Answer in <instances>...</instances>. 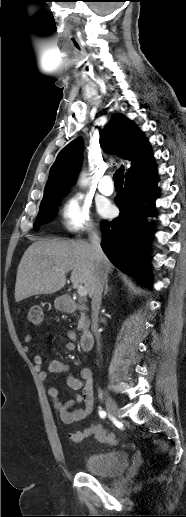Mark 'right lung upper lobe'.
<instances>
[{"label":"right lung upper lobe","mask_w":186,"mask_h":517,"mask_svg":"<svg viewBox=\"0 0 186 517\" xmlns=\"http://www.w3.org/2000/svg\"><path fill=\"white\" fill-rule=\"evenodd\" d=\"M100 142L105 150L131 161L125 177L152 163L148 141L140 129L121 113L113 115L102 132ZM82 151L83 141L80 137L60 151L51 167L43 199L65 193L74 183L82 163Z\"/></svg>","instance_id":"1"}]
</instances>
